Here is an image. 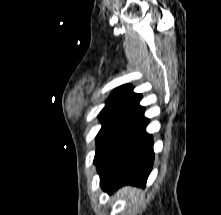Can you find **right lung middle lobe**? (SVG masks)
I'll use <instances>...</instances> for the list:
<instances>
[{
	"mask_svg": "<svg viewBox=\"0 0 221 215\" xmlns=\"http://www.w3.org/2000/svg\"><path fill=\"white\" fill-rule=\"evenodd\" d=\"M137 113L136 109L118 105H106L103 108L99 114L102 128L96 138L97 149L94 163L98 161L112 137Z\"/></svg>",
	"mask_w": 221,
	"mask_h": 215,
	"instance_id": "1",
	"label": "right lung middle lobe"
}]
</instances>
